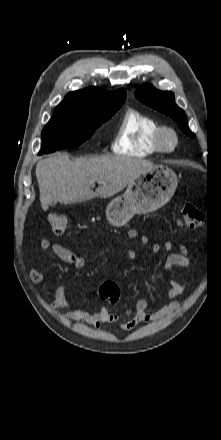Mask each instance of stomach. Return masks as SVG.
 I'll return each instance as SVG.
<instances>
[{"label": "stomach", "mask_w": 221, "mask_h": 440, "mask_svg": "<svg viewBox=\"0 0 221 440\" xmlns=\"http://www.w3.org/2000/svg\"><path fill=\"white\" fill-rule=\"evenodd\" d=\"M177 185L174 171L164 165H153L130 182L124 194L108 204L107 220L112 226L121 227L135 214L153 212L171 199Z\"/></svg>", "instance_id": "obj_1"}]
</instances>
